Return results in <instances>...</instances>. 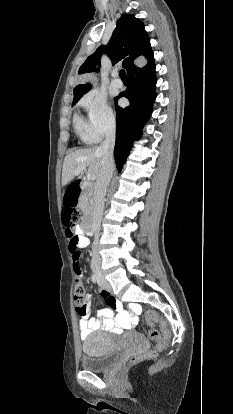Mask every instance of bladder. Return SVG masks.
<instances>
[{
  "mask_svg": "<svg viewBox=\"0 0 233 414\" xmlns=\"http://www.w3.org/2000/svg\"><path fill=\"white\" fill-rule=\"evenodd\" d=\"M143 344V338L136 335ZM80 366L89 372H103L110 369L120 356V350L113 344L111 337L103 332L89 335L83 344Z\"/></svg>",
  "mask_w": 233,
  "mask_h": 414,
  "instance_id": "obj_1",
  "label": "bladder"
}]
</instances>
